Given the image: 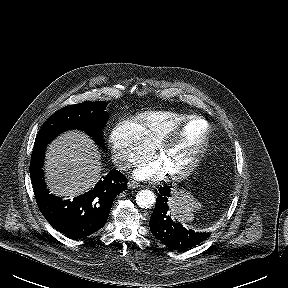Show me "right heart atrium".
Listing matches in <instances>:
<instances>
[{"label":"right heart atrium","instance_id":"right-heart-atrium-1","mask_svg":"<svg viewBox=\"0 0 288 288\" xmlns=\"http://www.w3.org/2000/svg\"><path fill=\"white\" fill-rule=\"evenodd\" d=\"M110 143L113 158L121 168H128L148 159L154 151L139 124L132 119L122 120L114 126Z\"/></svg>","mask_w":288,"mask_h":288}]
</instances>
